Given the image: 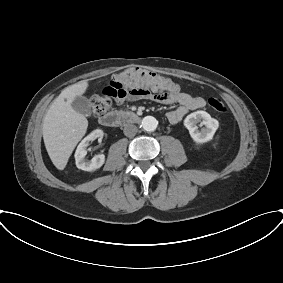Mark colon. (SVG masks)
<instances>
[{
  "mask_svg": "<svg viewBox=\"0 0 283 283\" xmlns=\"http://www.w3.org/2000/svg\"><path fill=\"white\" fill-rule=\"evenodd\" d=\"M172 87L167 77L139 67H130L118 72L102 93L91 98L92 114L100 118L106 114L114 100L133 95L140 98H149L153 95L165 97ZM208 105L217 113H224L226 106L217 97L208 99Z\"/></svg>",
  "mask_w": 283,
  "mask_h": 283,
  "instance_id": "5ec220e1",
  "label": "colon"
}]
</instances>
